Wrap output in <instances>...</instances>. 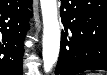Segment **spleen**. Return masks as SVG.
Returning a JSON list of instances; mask_svg holds the SVG:
<instances>
[{
    "label": "spleen",
    "instance_id": "spleen-1",
    "mask_svg": "<svg viewBox=\"0 0 107 75\" xmlns=\"http://www.w3.org/2000/svg\"><path fill=\"white\" fill-rule=\"evenodd\" d=\"M87 75H98V74H95V73H89V74H87Z\"/></svg>",
    "mask_w": 107,
    "mask_h": 75
}]
</instances>
